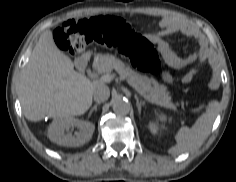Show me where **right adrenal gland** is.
Returning a JSON list of instances; mask_svg holds the SVG:
<instances>
[{
	"instance_id": "obj_1",
	"label": "right adrenal gland",
	"mask_w": 236,
	"mask_h": 182,
	"mask_svg": "<svg viewBox=\"0 0 236 182\" xmlns=\"http://www.w3.org/2000/svg\"><path fill=\"white\" fill-rule=\"evenodd\" d=\"M100 105V102H97L92 108H91V110H90V112H89V116H91V114H92V112L93 111H96V109H97V107Z\"/></svg>"
}]
</instances>
